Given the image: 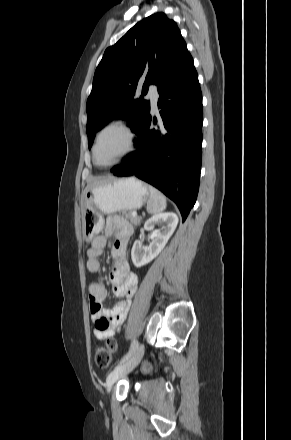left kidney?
<instances>
[{
  "mask_svg": "<svg viewBox=\"0 0 291 440\" xmlns=\"http://www.w3.org/2000/svg\"><path fill=\"white\" fill-rule=\"evenodd\" d=\"M178 224V216L174 212L158 213L149 218L145 224L146 231H153L152 242L148 247L136 240L133 244L131 257L135 267L139 268L150 263L167 244ZM155 225H161L162 231L155 230Z\"/></svg>",
  "mask_w": 291,
  "mask_h": 440,
  "instance_id": "left-kidney-1",
  "label": "left kidney"
}]
</instances>
